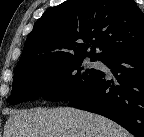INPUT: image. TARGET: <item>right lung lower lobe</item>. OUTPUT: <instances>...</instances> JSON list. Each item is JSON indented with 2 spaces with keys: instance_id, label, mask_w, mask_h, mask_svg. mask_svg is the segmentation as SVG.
<instances>
[{
  "instance_id": "right-lung-lower-lobe-1",
  "label": "right lung lower lobe",
  "mask_w": 144,
  "mask_h": 137,
  "mask_svg": "<svg viewBox=\"0 0 144 137\" xmlns=\"http://www.w3.org/2000/svg\"><path fill=\"white\" fill-rule=\"evenodd\" d=\"M103 63L112 77L101 71L68 106L103 115L135 137H144V44L113 55Z\"/></svg>"
}]
</instances>
